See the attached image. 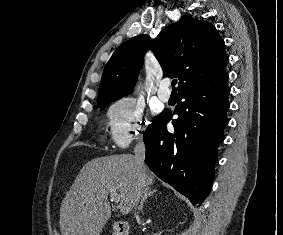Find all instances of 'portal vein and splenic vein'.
Returning a JSON list of instances; mask_svg holds the SVG:
<instances>
[{"instance_id":"18ae733b","label":"portal vein and splenic vein","mask_w":283,"mask_h":235,"mask_svg":"<svg viewBox=\"0 0 283 235\" xmlns=\"http://www.w3.org/2000/svg\"><path fill=\"white\" fill-rule=\"evenodd\" d=\"M110 197H111V201H114L116 203L120 202V196L115 190H111Z\"/></svg>"}]
</instances>
